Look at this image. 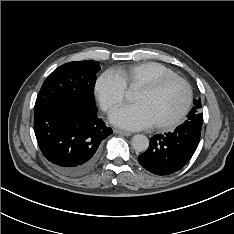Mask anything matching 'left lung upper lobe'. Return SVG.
Masks as SVG:
<instances>
[{"label": "left lung upper lobe", "mask_w": 234, "mask_h": 234, "mask_svg": "<svg viewBox=\"0 0 234 234\" xmlns=\"http://www.w3.org/2000/svg\"><path fill=\"white\" fill-rule=\"evenodd\" d=\"M201 108V99L199 98L197 100H194V106L187 116V120L184 122V124L196 127L201 130L203 124V113H201Z\"/></svg>", "instance_id": "5c2ea615"}]
</instances>
